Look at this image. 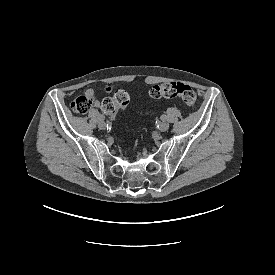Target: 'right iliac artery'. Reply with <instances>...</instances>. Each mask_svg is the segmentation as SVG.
Instances as JSON below:
<instances>
[{
  "mask_svg": "<svg viewBox=\"0 0 275 275\" xmlns=\"http://www.w3.org/2000/svg\"><path fill=\"white\" fill-rule=\"evenodd\" d=\"M99 119H104V116L103 115H99Z\"/></svg>",
  "mask_w": 275,
  "mask_h": 275,
  "instance_id": "1",
  "label": "right iliac artery"
}]
</instances>
